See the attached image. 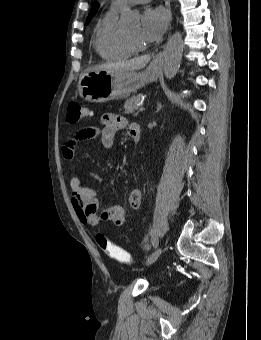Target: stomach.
Returning a JSON list of instances; mask_svg holds the SVG:
<instances>
[{
	"mask_svg": "<svg viewBox=\"0 0 261 340\" xmlns=\"http://www.w3.org/2000/svg\"><path fill=\"white\" fill-rule=\"evenodd\" d=\"M161 66V62L152 61L142 72L88 71L79 79V95L90 102H106L126 97L146 84L157 81Z\"/></svg>",
	"mask_w": 261,
	"mask_h": 340,
	"instance_id": "stomach-1",
	"label": "stomach"
}]
</instances>
